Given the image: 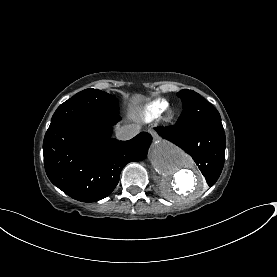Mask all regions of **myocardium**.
Returning a JSON list of instances; mask_svg holds the SVG:
<instances>
[{"mask_svg":"<svg viewBox=\"0 0 277 277\" xmlns=\"http://www.w3.org/2000/svg\"><path fill=\"white\" fill-rule=\"evenodd\" d=\"M172 115V111L171 110H167L166 111V117L169 118Z\"/></svg>","mask_w":277,"mask_h":277,"instance_id":"myocardium-1","label":"myocardium"}]
</instances>
